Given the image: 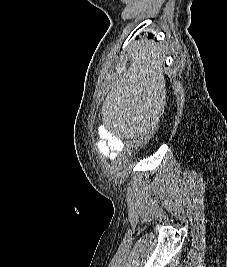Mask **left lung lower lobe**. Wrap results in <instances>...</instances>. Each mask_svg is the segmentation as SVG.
<instances>
[{
    "label": "left lung lower lobe",
    "mask_w": 227,
    "mask_h": 267,
    "mask_svg": "<svg viewBox=\"0 0 227 267\" xmlns=\"http://www.w3.org/2000/svg\"><path fill=\"white\" fill-rule=\"evenodd\" d=\"M148 38H152V35H151V34H149V35H148Z\"/></svg>",
    "instance_id": "1"
}]
</instances>
